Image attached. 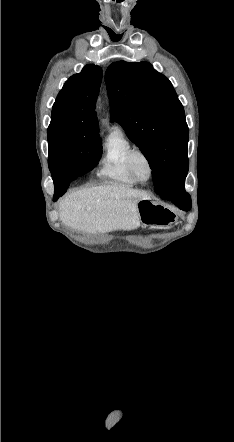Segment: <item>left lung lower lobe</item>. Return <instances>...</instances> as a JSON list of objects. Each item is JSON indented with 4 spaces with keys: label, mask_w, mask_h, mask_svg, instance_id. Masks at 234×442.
I'll list each match as a JSON object with an SVG mask.
<instances>
[{
    "label": "left lung lower lobe",
    "mask_w": 234,
    "mask_h": 442,
    "mask_svg": "<svg viewBox=\"0 0 234 442\" xmlns=\"http://www.w3.org/2000/svg\"><path fill=\"white\" fill-rule=\"evenodd\" d=\"M161 198L172 201L175 205H177L180 209L184 211H188L191 209V198L189 194L185 191V189H183L180 193L176 195H166Z\"/></svg>",
    "instance_id": "0a47b994"
}]
</instances>
